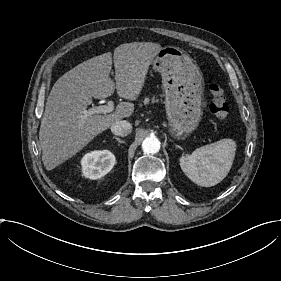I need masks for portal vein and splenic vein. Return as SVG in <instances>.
<instances>
[{"mask_svg": "<svg viewBox=\"0 0 281 281\" xmlns=\"http://www.w3.org/2000/svg\"><path fill=\"white\" fill-rule=\"evenodd\" d=\"M113 110H114V102L108 101L106 105H99V106H94L92 108H89L88 110H86L84 112L83 117L87 118L94 114L111 113Z\"/></svg>", "mask_w": 281, "mask_h": 281, "instance_id": "portal-vein-and-splenic-vein-1", "label": "portal vein and splenic vein"}]
</instances>
